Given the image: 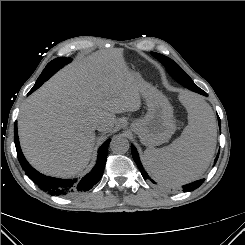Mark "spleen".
<instances>
[{
	"label": "spleen",
	"instance_id": "spleen-1",
	"mask_svg": "<svg viewBox=\"0 0 245 245\" xmlns=\"http://www.w3.org/2000/svg\"><path fill=\"white\" fill-rule=\"evenodd\" d=\"M184 105L188 125L168 147L144 152L149 171L163 184L178 186L199 179L208 168L216 147V120L211 107L196 95Z\"/></svg>",
	"mask_w": 245,
	"mask_h": 245
}]
</instances>
